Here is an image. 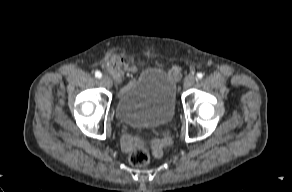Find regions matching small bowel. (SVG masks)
Instances as JSON below:
<instances>
[{"label":"small bowel","mask_w":292,"mask_h":192,"mask_svg":"<svg viewBox=\"0 0 292 192\" xmlns=\"http://www.w3.org/2000/svg\"><path fill=\"white\" fill-rule=\"evenodd\" d=\"M168 75L172 78V79H177L180 76V68L178 67H173L172 69L169 70ZM166 133L168 135H171L173 133V130L171 128H168L166 130V132L164 130H161L159 132V135L162 137L161 140L154 138L151 140L150 145L153 148L152 153L154 156L159 157L162 155L163 150L160 147V145L167 147L170 145L171 140L169 137L165 136ZM146 134L148 136H152L154 134V131L152 129H148L146 131ZM122 146L124 148V150L126 151H131L133 150L136 146L137 143L128 135H125L122 138Z\"/></svg>","instance_id":"small-bowel-1"}]
</instances>
